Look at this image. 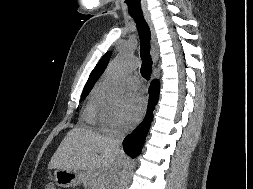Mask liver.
Instances as JSON below:
<instances>
[{"label": "liver", "mask_w": 253, "mask_h": 189, "mask_svg": "<svg viewBox=\"0 0 253 189\" xmlns=\"http://www.w3.org/2000/svg\"><path fill=\"white\" fill-rule=\"evenodd\" d=\"M126 156L118 153L111 145L109 137L83 127L69 131L49 162L48 168L84 170L85 175L97 173L101 176L99 189H107L104 180L112 167L123 163Z\"/></svg>", "instance_id": "liver-1"}]
</instances>
